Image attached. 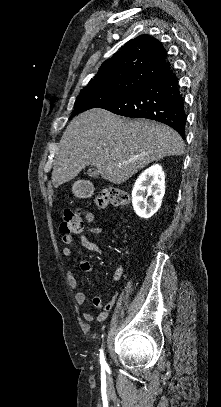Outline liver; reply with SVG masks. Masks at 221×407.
<instances>
[{"instance_id": "obj_1", "label": "liver", "mask_w": 221, "mask_h": 407, "mask_svg": "<svg viewBox=\"0 0 221 407\" xmlns=\"http://www.w3.org/2000/svg\"><path fill=\"white\" fill-rule=\"evenodd\" d=\"M184 146L181 136L167 125L94 108L73 118L66 127L52 183L57 188L91 165L104 180L122 184L153 161L182 155Z\"/></svg>"}]
</instances>
